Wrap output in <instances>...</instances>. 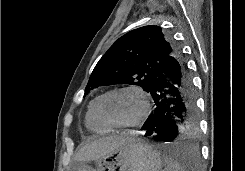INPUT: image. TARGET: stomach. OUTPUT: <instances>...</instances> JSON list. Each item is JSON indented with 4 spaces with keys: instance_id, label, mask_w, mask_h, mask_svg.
<instances>
[{
    "instance_id": "stomach-1",
    "label": "stomach",
    "mask_w": 245,
    "mask_h": 171,
    "mask_svg": "<svg viewBox=\"0 0 245 171\" xmlns=\"http://www.w3.org/2000/svg\"><path fill=\"white\" fill-rule=\"evenodd\" d=\"M160 152L152 145L134 139L96 160V168L81 163L74 171H163Z\"/></svg>"
}]
</instances>
